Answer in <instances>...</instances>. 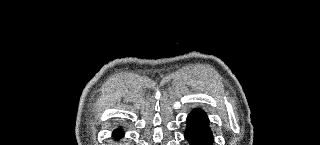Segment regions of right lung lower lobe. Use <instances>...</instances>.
<instances>
[{
    "instance_id": "1",
    "label": "right lung lower lobe",
    "mask_w": 320,
    "mask_h": 145,
    "mask_svg": "<svg viewBox=\"0 0 320 145\" xmlns=\"http://www.w3.org/2000/svg\"><path fill=\"white\" fill-rule=\"evenodd\" d=\"M113 136L115 138H121L123 136V131L122 130H115L114 133H113Z\"/></svg>"
}]
</instances>
